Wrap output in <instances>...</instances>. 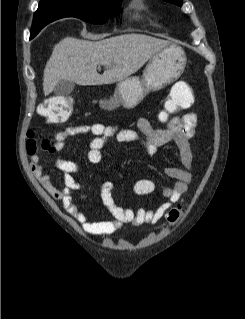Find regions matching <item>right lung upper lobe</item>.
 Returning a JSON list of instances; mask_svg holds the SVG:
<instances>
[{"mask_svg":"<svg viewBox=\"0 0 245 319\" xmlns=\"http://www.w3.org/2000/svg\"><path fill=\"white\" fill-rule=\"evenodd\" d=\"M64 0H41L37 11L34 14V20L38 26L32 23L31 35L35 36L45 25L58 19L54 11L56 10L52 2Z\"/></svg>","mask_w":245,"mask_h":319,"instance_id":"cb5924a9","label":"right lung upper lobe"}]
</instances>
